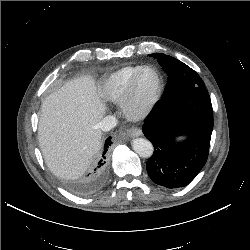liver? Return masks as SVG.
Wrapping results in <instances>:
<instances>
[{"label": "liver", "mask_w": 250, "mask_h": 250, "mask_svg": "<svg viewBox=\"0 0 250 250\" xmlns=\"http://www.w3.org/2000/svg\"><path fill=\"white\" fill-rule=\"evenodd\" d=\"M106 106L94 80L82 76L65 83L41 105L38 140L51 172L74 179L89 167L101 148L98 127Z\"/></svg>", "instance_id": "6515ba94"}]
</instances>
